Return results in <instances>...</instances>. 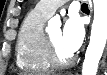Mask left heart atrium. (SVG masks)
<instances>
[{
    "label": "left heart atrium",
    "instance_id": "obj_1",
    "mask_svg": "<svg viewBox=\"0 0 107 75\" xmlns=\"http://www.w3.org/2000/svg\"><path fill=\"white\" fill-rule=\"evenodd\" d=\"M84 35L85 31L81 19L76 14L71 13L61 32V42L64 49L70 54L76 52L83 42Z\"/></svg>",
    "mask_w": 107,
    "mask_h": 75
}]
</instances>
